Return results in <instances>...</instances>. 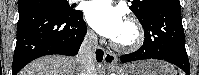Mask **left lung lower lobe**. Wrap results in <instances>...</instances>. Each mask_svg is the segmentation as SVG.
Masks as SVG:
<instances>
[{"label": "left lung lower lobe", "mask_w": 199, "mask_h": 75, "mask_svg": "<svg viewBox=\"0 0 199 75\" xmlns=\"http://www.w3.org/2000/svg\"><path fill=\"white\" fill-rule=\"evenodd\" d=\"M141 24L145 32L142 47L133 53L122 55L121 62L144 59L165 60L190 75L180 2L170 1L158 5Z\"/></svg>", "instance_id": "0a47b994"}]
</instances>
